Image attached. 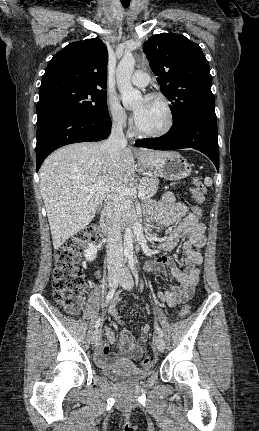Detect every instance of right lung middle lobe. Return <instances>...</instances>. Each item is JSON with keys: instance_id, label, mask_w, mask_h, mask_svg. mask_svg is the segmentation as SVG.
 <instances>
[{"instance_id": "dd1d6c3e", "label": "right lung middle lobe", "mask_w": 259, "mask_h": 431, "mask_svg": "<svg viewBox=\"0 0 259 431\" xmlns=\"http://www.w3.org/2000/svg\"><path fill=\"white\" fill-rule=\"evenodd\" d=\"M39 95L38 118L58 110H71L94 117L109 116L105 89L51 83L40 90Z\"/></svg>"}]
</instances>
